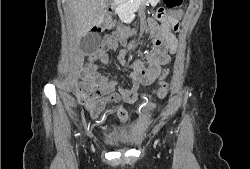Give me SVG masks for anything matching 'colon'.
<instances>
[{
	"label": "colon",
	"mask_w": 250,
	"mask_h": 169,
	"mask_svg": "<svg viewBox=\"0 0 250 169\" xmlns=\"http://www.w3.org/2000/svg\"><path fill=\"white\" fill-rule=\"evenodd\" d=\"M162 3H165L166 7L169 9L177 8L180 7L182 4V0H162ZM112 27V23L110 20H108L104 25L100 26H95L92 28V33L93 34H100L102 32H106L110 30ZM150 40L153 43H156V48L159 51H164L167 48V43L164 40H161V35L158 32H153L150 35ZM92 47L96 46V43L92 41L90 43ZM152 107L154 106L153 104L151 105Z\"/></svg>",
	"instance_id": "1"
}]
</instances>
